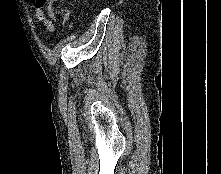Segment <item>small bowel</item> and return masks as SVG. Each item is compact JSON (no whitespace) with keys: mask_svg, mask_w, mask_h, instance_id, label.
<instances>
[{"mask_svg":"<svg viewBox=\"0 0 221 174\" xmlns=\"http://www.w3.org/2000/svg\"><path fill=\"white\" fill-rule=\"evenodd\" d=\"M35 3H36L35 13H36L37 20L44 25L46 30H48L49 32H54L55 31L54 24L44 13L43 6L40 5L37 0ZM49 13H50V16L54 18L53 13L51 11ZM62 16H63L64 23L68 22L70 18V11L68 9H64L62 12Z\"/></svg>","mask_w":221,"mask_h":174,"instance_id":"c3829d8e","label":"small bowel"}]
</instances>
